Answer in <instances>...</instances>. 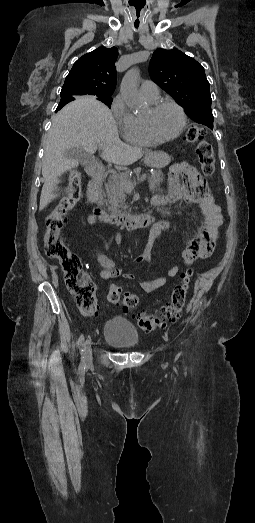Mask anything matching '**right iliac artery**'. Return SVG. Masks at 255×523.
<instances>
[{"instance_id":"obj_1","label":"right iliac artery","mask_w":255,"mask_h":523,"mask_svg":"<svg viewBox=\"0 0 255 523\" xmlns=\"http://www.w3.org/2000/svg\"><path fill=\"white\" fill-rule=\"evenodd\" d=\"M78 348L81 353V366L83 367L85 365V357H84V336L80 335L78 339Z\"/></svg>"}]
</instances>
